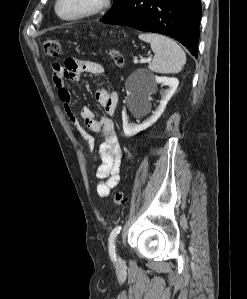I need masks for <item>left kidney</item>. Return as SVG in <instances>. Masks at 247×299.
I'll use <instances>...</instances> for the list:
<instances>
[{
    "instance_id": "5707ae66",
    "label": "left kidney",
    "mask_w": 247,
    "mask_h": 299,
    "mask_svg": "<svg viewBox=\"0 0 247 299\" xmlns=\"http://www.w3.org/2000/svg\"><path fill=\"white\" fill-rule=\"evenodd\" d=\"M162 84L168 87V89L162 91V99L160 101L159 106L156 108V111L153 112V115L146 119L142 124L136 125L134 123H131L127 117V115L124 113L122 114V120H123V130L126 136L131 137L139 133L140 131H143L153 125L159 117L164 112V109L170 100V98L175 93L179 81L177 78L174 77H158L155 76L154 78H150L149 87L148 90L143 93H131L127 97V103L131 106V110L136 115H142L149 109V101H150V95L155 92L157 89V85Z\"/></svg>"
}]
</instances>
